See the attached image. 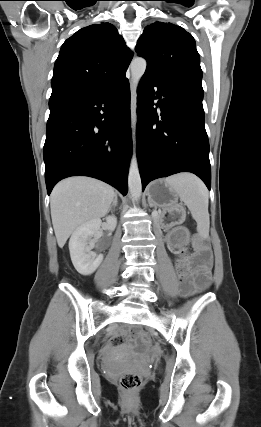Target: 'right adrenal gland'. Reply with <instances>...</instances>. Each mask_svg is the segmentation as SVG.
Segmentation results:
<instances>
[{
    "label": "right adrenal gland",
    "instance_id": "obj_1",
    "mask_svg": "<svg viewBox=\"0 0 261 427\" xmlns=\"http://www.w3.org/2000/svg\"><path fill=\"white\" fill-rule=\"evenodd\" d=\"M117 204H118V198H117V195H115V197L113 199V202H112L111 206L109 207L108 212L112 211V209H115V207L117 206Z\"/></svg>",
    "mask_w": 261,
    "mask_h": 427
}]
</instances>
